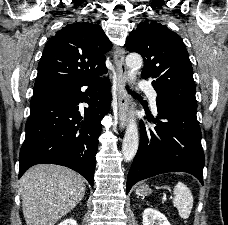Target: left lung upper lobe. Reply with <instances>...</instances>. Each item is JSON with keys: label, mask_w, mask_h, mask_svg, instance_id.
<instances>
[{"label": "left lung upper lobe", "mask_w": 228, "mask_h": 225, "mask_svg": "<svg viewBox=\"0 0 228 225\" xmlns=\"http://www.w3.org/2000/svg\"><path fill=\"white\" fill-rule=\"evenodd\" d=\"M126 47L143 57L142 77L154 79L158 98L197 106L192 65L179 35L160 23L144 21L130 33Z\"/></svg>", "instance_id": "obj_1"}]
</instances>
